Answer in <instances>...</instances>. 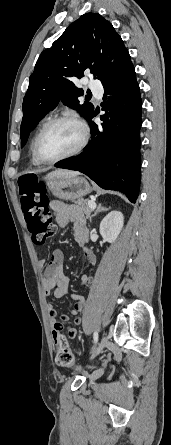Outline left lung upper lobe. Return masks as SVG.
<instances>
[{
  "label": "left lung upper lobe",
  "instance_id": "left-lung-upper-lobe-1",
  "mask_svg": "<svg viewBox=\"0 0 171 445\" xmlns=\"http://www.w3.org/2000/svg\"><path fill=\"white\" fill-rule=\"evenodd\" d=\"M132 63L121 37L100 14L86 13L39 56L23 100L21 147L29 133L59 101L77 110L86 120L94 112L89 102L79 103L83 90L73 80L90 70L104 84L125 65Z\"/></svg>",
  "mask_w": 171,
  "mask_h": 445
}]
</instances>
